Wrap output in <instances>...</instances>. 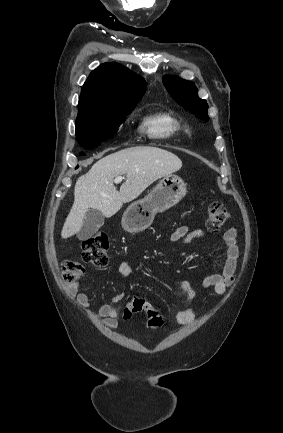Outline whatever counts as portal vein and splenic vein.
Returning a JSON list of instances; mask_svg holds the SVG:
<instances>
[{
    "label": "portal vein and splenic vein",
    "instance_id": "portal-vein-and-splenic-vein-1",
    "mask_svg": "<svg viewBox=\"0 0 283 433\" xmlns=\"http://www.w3.org/2000/svg\"><path fill=\"white\" fill-rule=\"evenodd\" d=\"M123 176H116V178H114V182H121Z\"/></svg>",
    "mask_w": 283,
    "mask_h": 433
}]
</instances>
